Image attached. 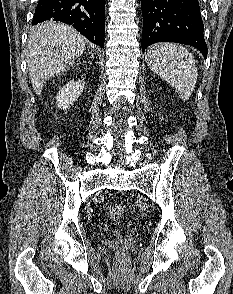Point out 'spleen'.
Returning a JSON list of instances; mask_svg holds the SVG:
<instances>
[{
  "mask_svg": "<svg viewBox=\"0 0 233 294\" xmlns=\"http://www.w3.org/2000/svg\"><path fill=\"white\" fill-rule=\"evenodd\" d=\"M145 59L150 69L175 88L183 101L190 98L198 77L192 53L181 45L158 43L147 50Z\"/></svg>",
  "mask_w": 233,
  "mask_h": 294,
  "instance_id": "1",
  "label": "spleen"
}]
</instances>
